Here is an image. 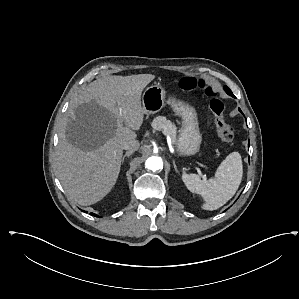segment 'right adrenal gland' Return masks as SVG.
<instances>
[{"label":"right adrenal gland","instance_id":"right-adrenal-gland-1","mask_svg":"<svg viewBox=\"0 0 299 299\" xmlns=\"http://www.w3.org/2000/svg\"><path fill=\"white\" fill-rule=\"evenodd\" d=\"M132 153H133L132 151H127L122 158V163L124 162L125 158L126 157L128 158Z\"/></svg>","mask_w":299,"mask_h":299}]
</instances>
